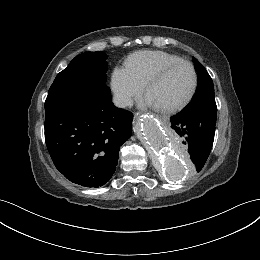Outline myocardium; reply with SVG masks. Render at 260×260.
I'll return each instance as SVG.
<instances>
[{
    "label": "myocardium",
    "instance_id": "myocardium-1",
    "mask_svg": "<svg viewBox=\"0 0 260 260\" xmlns=\"http://www.w3.org/2000/svg\"><path fill=\"white\" fill-rule=\"evenodd\" d=\"M181 64H185L187 65L192 73V79H191V83L190 86L188 88V90L186 91V93L177 101L168 104V105H164V106H158V108L162 111H166V112H170V111H174L178 108H180L182 105H184L187 100L191 97V95L194 92V89L196 87V83H197V73L196 70L193 66L192 63H190L189 61L186 60H177L168 64H165L163 66H161L160 68H158L147 80L146 84H145V93L146 95H148L150 89L172 68L181 65Z\"/></svg>",
    "mask_w": 260,
    "mask_h": 260
}]
</instances>
